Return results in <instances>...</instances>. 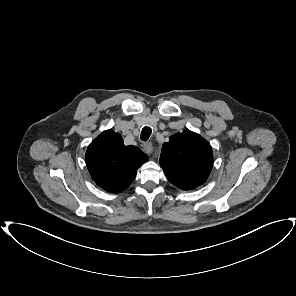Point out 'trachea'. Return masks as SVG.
Here are the masks:
<instances>
[{"label":"trachea","instance_id":"3493384b","mask_svg":"<svg viewBox=\"0 0 296 296\" xmlns=\"http://www.w3.org/2000/svg\"><path fill=\"white\" fill-rule=\"evenodd\" d=\"M151 133H152V129L150 127H148V126L144 127L142 129L141 136H140L141 140L147 141L149 139Z\"/></svg>","mask_w":296,"mask_h":296}]
</instances>
